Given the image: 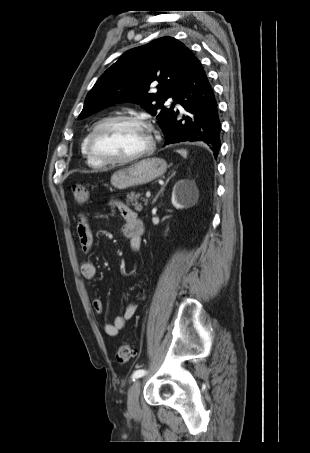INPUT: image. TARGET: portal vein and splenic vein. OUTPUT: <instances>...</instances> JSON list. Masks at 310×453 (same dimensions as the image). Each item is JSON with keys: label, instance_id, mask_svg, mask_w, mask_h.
Wrapping results in <instances>:
<instances>
[{"label": "portal vein and splenic vein", "instance_id": "18ae733b", "mask_svg": "<svg viewBox=\"0 0 310 453\" xmlns=\"http://www.w3.org/2000/svg\"><path fill=\"white\" fill-rule=\"evenodd\" d=\"M150 196H151V193H150L149 191L146 192V197H147V198H150Z\"/></svg>", "mask_w": 310, "mask_h": 453}]
</instances>
